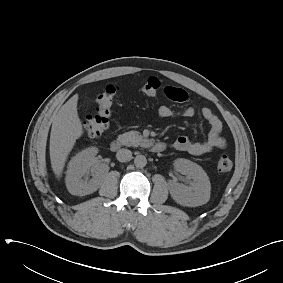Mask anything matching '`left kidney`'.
I'll return each mask as SVG.
<instances>
[{"mask_svg": "<svg viewBox=\"0 0 283 283\" xmlns=\"http://www.w3.org/2000/svg\"><path fill=\"white\" fill-rule=\"evenodd\" d=\"M176 171L186 175L193 182L190 186L171 180L169 191L172 198L180 205L196 207L206 204L210 199L211 185L206 172L201 166L187 159L174 161Z\"/></svg>", "mask_w": 283, "mask_h": 283, "instance_id": "obj_1", "label": "left kidney"}]
</instances>
